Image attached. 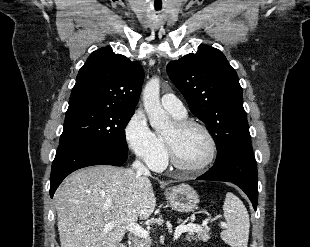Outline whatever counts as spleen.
<instances>
[{
    "instance_id": "spleen-1",
    "label": "spleen",
    "mask_w": 310,
    "mask_h": 247,
    "mask_svg": "<svg viewBox=\"0 0 310 247\" xmlns=\"http://www.w3.org/2000/svg\"><path fill=\"white\" fill-rule=\"evenodd\" d=\"M223 212L227 225L220 234L222 240L231 247H247L250 220L243 202L233 193L228 192L224 200Z\"/></svg>"
}]
</instances>
